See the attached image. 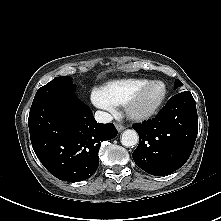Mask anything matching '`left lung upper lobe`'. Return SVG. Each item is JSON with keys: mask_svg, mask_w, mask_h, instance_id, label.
<instances>
[{"mask_svg": "<svg viewBox=\"0 0 221 221\" xmlns=\"http://www.w3.org/2000/svg\"><path fill=\"white\" fill-rule=\"evenodd\" d=\"M181 85H182V82L177 79V80L175 81V86H174V88L177 89V88H178L179 86H181Z\"/></svg>", "mask_w": 221, "mask_h": 221, "instance_id": "left-lung-upper-lobe-1", "label": "left lung upper lobe"}]
</instances>
